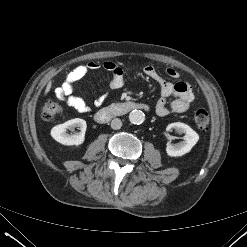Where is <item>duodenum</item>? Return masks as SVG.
<instances>
[{
	"mask_svg": "<svg viewBox=\"0 0 247 247\" xmlns=\"http://www.w3.org/2000/svg\"><path fill=\"white\" fill-rule=\"evenodd\" d=\"M150 108L145 103L133 101L116 102L101 108L95 114V119L99 123H106L114 117L123 116L133 110L148 111Z\"/></svg>",
	"mask_w": 247,
	"mask_h": 247,
	"instance_id": "1",
	"label": "duodenum"
}]
</instances>
